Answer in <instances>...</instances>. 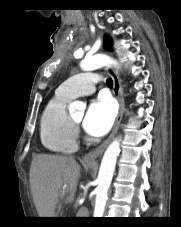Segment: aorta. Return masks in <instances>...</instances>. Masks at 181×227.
I'll use <instances>...</instances> for the list:
<instances>
[{"instance_id": "1", "label": "aorta", "mask_w": 181, "mask_h": 227, "mask_svg": "<svg viewBox=\"0 0 181 227\" xmlns=\"http://www.w3.org/2000/svg\"><path fill=\"white\" fill-rule=\"evenodd\" d=\"M103 66H115L118 67V63L113 58H110L104 54H97L92 57L85 58L80 67L84 71H91ZM85 104L81 102H73L70 104V111L75 109H85ZM120 152V139H114L106 149L101 161L96 188V201L94 208V217H103L106 201L108 198V189L110 187L113 174L115 171L117 156Z\"/></svg>"}]
</instances>
